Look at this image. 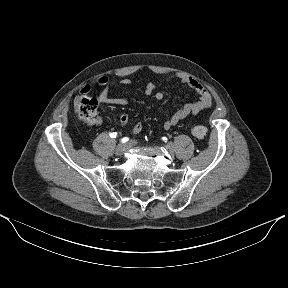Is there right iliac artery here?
<instances>
[{"label": "right iliac artery", "mask_w": 288, "mask_h": 288, "mask_svg": "<svg viewBox=\"0 0 288 288\" xmlns=\"http://www.w3.org/2000/svg\"><path fill=\"white\" fill-rule=\"evenodd\" d=\"M110 136H111L112 138H116V137H117V133H116V132H113V133L110 134Z\"/></svg>", "instance_id": "right-iliac-artery-1"}]
</instances>
